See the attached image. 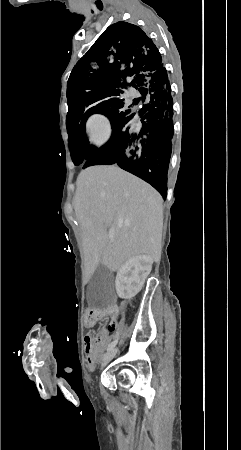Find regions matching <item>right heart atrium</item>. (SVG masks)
<instances>
[{
	"label": "right heart atrium",
	"instance_id": "d8ad5b80",
	"mask_svg": "<svg viewBox=\"0 0 241 450\" xmlns=\"http://www.w3.org/2000/svg\"><path fill=\"white\" fill-rule=\"evenodd\" d=\"M88 135L90 143L94 147H102L107 142V137L111 132L109 119L103 114L93 115L88 122Z\"/></svg>",
	"mask_w": 241,
	"mask_h": 450
}]
</instances>
